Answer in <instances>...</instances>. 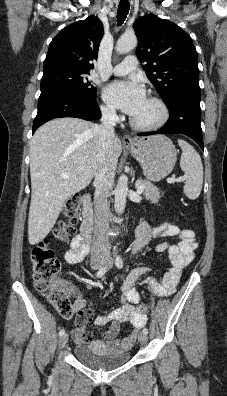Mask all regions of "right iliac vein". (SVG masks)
Wrapping results in <instances>:
<instances>
[{"instance_id": "obj_1", "label": "right iliac vein", "mask_w": 227, "mask_h": 396, "mask_svg": "<svg viewBox=\"0 0 227 396\" xmlns=\"http://www.w3.org/2000/svg\"><path fill=\"white\" fill-rule=\"evenodd\" d=\"M93 269H101L104 265V261L102 260H95L92 262ZM68 342V334H63L59 339V348H63Z\"/></svg>"}]
</instances>
